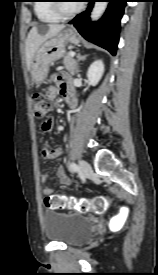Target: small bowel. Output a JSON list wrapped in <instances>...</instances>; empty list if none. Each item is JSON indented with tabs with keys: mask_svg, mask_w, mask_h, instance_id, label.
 <instances>
[{
	"mask_svg": "<svg viewBox=\"0 0 158 275\" xmlns=\"http://www.w3.org/2000/svg\"><path fill=\"white\" fill-rule=\"evenodd\" d=\"M53 80L55 85L50 87L48 89V96L50 98H55L57 94H61L64 96L70 105H75L76 101L73 96L72 92V87H71V82L69 77L64 76L62 74H54ZM54 122L52 119H47L42 123L41 129L43 132H50L53 128ZM62 154V149L61 147H52V148H44L42 150V157L44 159H54L60 157ZM56 175L59 180V182L62 185H69L70 184V179L66 175L65 170L62 166H59L56 170ZM47 180H48V175L47 174H42L40 176V181L42 183V192L44 195L49 196L55 193L56 188L47 185Z\"/></svg>",
	"mask_w": 158,
	"mask_h": 275,
	"instance_id": "small-bowel-1",
	"label": "small bowel"
}]
</instances>
